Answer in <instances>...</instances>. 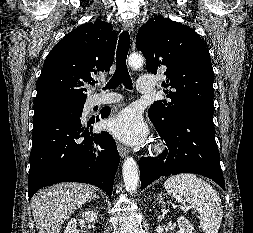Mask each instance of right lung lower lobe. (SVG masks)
<instances>
[{
	"mask_svg": "<svg viewBox=\"0 0 253 233\" xmlns=\"http://www.w3.org/2000/svg\"><path fill=\"white\" fill-rule=\"evenodd\" d=\"M109 113L105 107L101 118ZM81 115L63 108L34 114L29 200L40 188L64 181L89 183L112 194L120 160L116 143L106 132L92 133L98 116L85 122Z\"/></svg>",
	"mask_w": 253,
	"mask_h": 233,
	"instance_id": "obj_1",
	"label": "right lung lower lobe"
}]
</instances>
